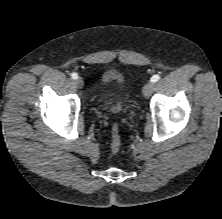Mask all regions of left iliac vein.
Masks as SVG:
<instances>
[{"label": "left iliac vein", "instance_id": "4c4485c4", "mask_svg": "<svg viewBox=\"0 0 222 219\" xmlns=\"http://www.w3.org/2000/svg\"><path fill=\"white\" fill-rule=\"evenodd\" d=\"M153 89H154V83L148 82L144 85L142 93L145 97H149L152 94Z\"/></svg>", "mask_w": 222, "mask_h": 219}]
</instances>
